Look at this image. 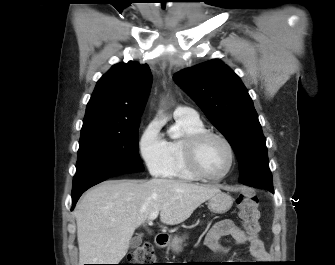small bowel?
<instances>
[{"mask_svg":"<svg viewBox=\"0 0 335 265\" xmlns=\"http://www.w3.org/2000/svg\"><path fill=\"white\" fill-rule=\"evenodd\" d=\"M225 236H231L237 245L249 243V251L253 259L256 261L266 260L267 253L258 234L246 233L229 219L219 221L210 229L205 238V245L217 254L224 255L229 251V247L221 242Z\"/></svg>","mask_w":335,"mask_h":265,"instance_id":"c3829d8e","label":"small bowel"}]
</instances>
